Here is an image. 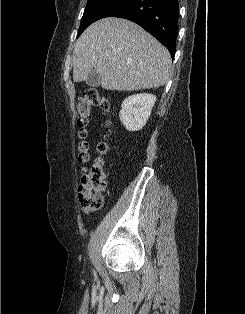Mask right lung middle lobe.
Masks as SVG:
<instances>
[{"mask_svg":"<svg viewBox=\"0 0 245 314\" xmlns=\"http://www.w3.org/2000/svg\"><path fill=\"white\" fill-rule=\"evenodd\" d=\"M126 0H88L84 10L78 36L93 22L104 18V16L124 3Z\"/></svg>","mask_w":245,"mask_h":314,"instance_id":"obj_1","label":"right lung middle lobe"}]
</instances>
